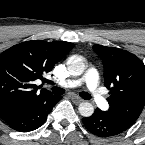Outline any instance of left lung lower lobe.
<instances>
[{"mask_svg": "<svg viewBox=\"0 0 145 145\" xmlns=\"http://www.w3.org/2000/svg\"><path fill=\"white\" fill-rule=\"evenodd\" d=\"M83 124L88 131L99 137H112L127 130L100 109H96L92 116L83 118Z\"/></svg>", "mask_w": 145, "mask_h": 145, "instance_id": "0a47b994", "label": "left lung lower lobe"}]
</instances>
